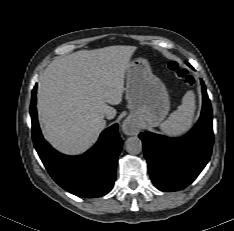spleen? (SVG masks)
I'll list each match as a JSON object with an SVG mask.
<instances>
[{"label":"spleen","mask_w":234,"mask_h":231,"mask_svg":"<svg viewBox=\"0 0 234 231\" xmlns=\"http://www.w3.org/2000/svg\"><path fill=\"white\" fill-rule=\"evenodd\" d=\"M195 108V95L193 91H188L178 109L160 125L161 131L173 137L186 133L192 127Z\"/></svg>","instance_id":"1"}]
</instances>
